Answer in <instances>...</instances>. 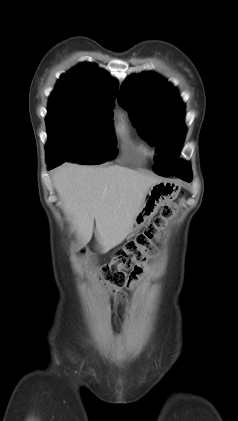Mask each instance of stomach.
Masks as SVG:
<instances>
[{
	"mask_svg": "<svg viewBox=\"0 0 238 421\" xmlns=\"http://www.w3.org/2000/svg\"><path fill=\"white\" fill-rule=\"evenodd\" d=\"M177 193L176 185L171 182L160 181L150 186L145 194L140 210L133 221L130 233L140 229L147 220L151 219L157 213L162 205L169 202Z\"/></svg>",
	"mask_w": 238,
	"mask_h": 421,
	"instance_id": "1",
	"label": "stomach"
}]
</instances>
